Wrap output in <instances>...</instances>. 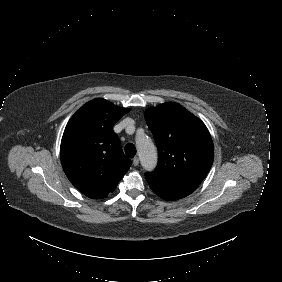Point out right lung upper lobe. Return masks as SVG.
I'll use <instances>...</instances> for the list:
<instances>
[{
  "label": "right lung upper lobe",
  "instance_id": "1",
  "mask_svg": "<svg viewBox=\"0 0 282 282\" xmlns=\"http://www.w3.org/2000/svg\"><path fill=\"white\" fill-rule=\"evenodd\" d=\"M130 109L97 98L71 117L61 141V163L68 179L84 195L102 199L113 192L131 160L121 148L114 124Z\"/></svg>",
  "mask_w": 282,
  "mask_h": 282
}]
</instances>
